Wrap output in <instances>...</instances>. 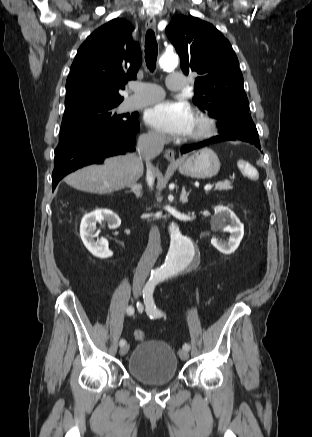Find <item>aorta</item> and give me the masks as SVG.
Returning a JSON list of instances; mask_svg holds the SVG:
<instances>
[{"mask_svg": "<svg viewBox=\"0 0 312 437\" xmlns=\"http://www.w3.org/2000/svg\"><path fill=\"white\" fill-rule=\"evenodd\" d=\"M162 69H174L178 65V56L174 53H165L159 60ZM170 248L165 263L159 272L164 275H174L184 269L191 260L197 257V250L192 241L183 236L175 223L169 225Z\"/></svg>", "mask_w": 312, "mask_h": 437, "instance_id": "aorta-1", "label": "aorta"}]
</instances>
